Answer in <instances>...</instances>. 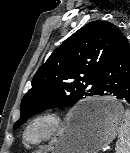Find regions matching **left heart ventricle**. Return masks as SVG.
<instances>
[{
    "label": "left heart ventricle",
    "mask_w": 130,
    "mask_h": 153,
    "mask_svg": "<svg viewBox=\"0 0 130 153\" xmlns=\"http://www.w3.org/2000/svg\"><path fill=\"white\" fill-rule=\"evenodd\" d=\"M40 128L38 127V128H35L34 130H33V134L35 135V134H38L39 132H40Z\"/></svg>",
    "instance_id": "left-heart-ventricle-1"
}]
</instances>
